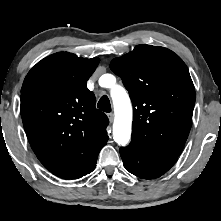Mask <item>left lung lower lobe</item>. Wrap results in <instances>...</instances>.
Instances as JSON below:
<instances>
[{
	"label": "left lung lower lobe",
	"instance_id": "left-lung-lower-lobe-1",
	"mask_svg": "<svg viewBox=\"0 0 221 221\" xmlns=\"http://www.w3.org/2000/svg\"><path fill=\"white\" fill-rule=\"evenodd\" d=\"M124 167L135 176L154 179L166 173L177 157L163 156L144 150L135 143L120 148Z\"/></svg>",
	"mask_w": 221,
	"mask_h": 221
}]
</instances>
